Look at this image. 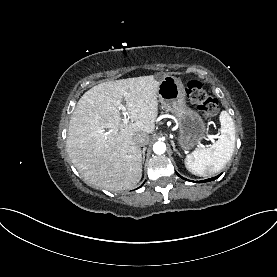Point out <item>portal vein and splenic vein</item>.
<instances>
[{
  "label": "portal vein and splenic vein",
  "instance_id": "obj_1",
  "mask_svg": "<svg viewBox=\"0 0 277 277\" xmlns=\"http://www.w3.org/2000/svg\"><path fill=\"white\" fill-rule=\"evenodd\" d=\"M116 105L118 107L119 110H122L123 114H124V118L122 119L123 120V124L126 125L128 124L129 122V115H128V112L126 110V108L122 105V102L121 101H117L116 102ZM208 137L210 139H213L215 138L213 135H208Z\"/></svg>",
  "mask_w": 277,
  "mask_h": 277
}]
</instances>
